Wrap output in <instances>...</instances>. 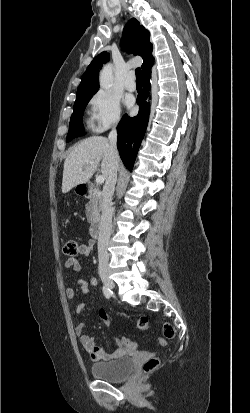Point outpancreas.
Masks as SVG:
<instances>
[{
	"label": "pancreas",
	"instance_id": "obj_1",
	"mask_svg": "<svg viewBox=\"0 0 250 413\" xmlns=\"http://www.w3.org/2000/svg\"><path fill=\"white\" fill-rule=\"evenodd\" d=\"M101 210V197L97 193L90 196V200L86 206V216L89 223L98 221Z\"/></svg>",
	"mask_w": 250,
	"mask_h": 413
}]
</instances>
